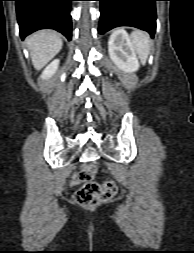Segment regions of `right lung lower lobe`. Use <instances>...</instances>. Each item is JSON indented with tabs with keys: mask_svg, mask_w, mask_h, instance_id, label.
Segmentation results:
<instances>
[{
	"mask_svg": "<svg viewBox=\"0 0 194 253\" xmlns=\"http://www.w3.org/2000/svg\"><path fill=\"white\" fill-rule=\"evenodd\" d=\"M21 38L34 31L51 28L68 40L72 36L70 3L72 0H14Z\"/></svg>",
	"mask_w": 194,
	"mask_h": 253,
	"instance_id": "right-lung-lower-lobe-1",
	"label": "right lung lower lobe"
}]
</instances>
